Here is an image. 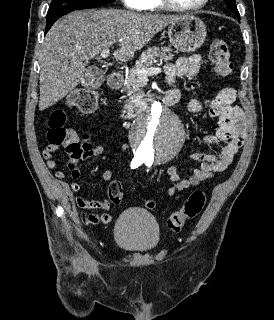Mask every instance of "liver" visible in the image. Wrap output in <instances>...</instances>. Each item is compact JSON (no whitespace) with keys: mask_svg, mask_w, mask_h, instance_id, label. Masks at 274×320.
<instances>
[{"mask_svg":"<svg viewBox=\"0 0 274 320\" xmlns=\"http://www.w3.org/2000/svg\"><path fill=\"white\" fill-rule=\"evenodd\" d=\"M179 16L127 10H77L53 24L42 44L39 110H46L82 82L88 62L119 42L113 58L129 62Z\"/></svg>","mask_w":274,"mask_h":320,"instance_id":"liver-1","label":"liver"}]
</instances>
